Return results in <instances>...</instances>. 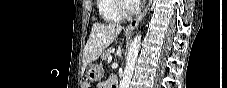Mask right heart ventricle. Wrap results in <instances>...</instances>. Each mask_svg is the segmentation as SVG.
I'll return each instance as SVG.
<instances>
[{
	"instance_id": "e07e8e85",
	"label": "right heart ventricle",
	"mask_w": 227,
	"mask_h": 88,
	"mask_svg": "<svg viewBox=\"0 0 227 88\" xmlns=\"http://www.w3.org/2000/svg\"><path fill=\"white\" fill-rule=\"evenodd\" d=\"M101 18L109 22H120L122 15L117 11L116 5L119 0H96Z\"/></svg>"
}]
</instances>
